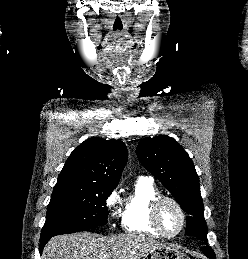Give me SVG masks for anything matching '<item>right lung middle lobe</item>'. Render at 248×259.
<instances>
[{
	"mask_svg": "<svg viewBox=\"0 0 248 259\" xmlns=\"http://www.w3.org/2000/svg\"><path fill=\"white\" fill-rule=\"evenodd\" d=\"M115 187L55 186L41 237L74 233L107 223L106 200Z\"/></svg>",
	"mask_w": 248,
	"mask_h": 259,
	"instance_id": "dd1d6c3e",
	"label": "right lung middle lobe"
}]
</instances>
